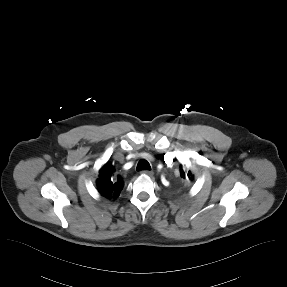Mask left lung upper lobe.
<instances>
[{
  "label": "left lung upper lobe",
  "mask_w": 287,
  "mask_h": 287,
  "mask_svg": "<svg viewBox=\"0 0 287 287\" xmlns=\"http://www.w3.org/2000/svg\"><path fill=\"white\" fill-rule=\"evenodd\" d=\"M180 175H181L182 178H185V177H186L184 170H181V171H180ZM190 177H191V173H190V171H189V172L187 173V178H190ZM191 178H193V176H192Z\"/></svg>",
  "instance_id": "left-lung-upper-lobe-1"
}]
</instances>
